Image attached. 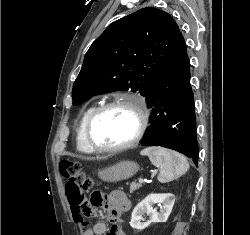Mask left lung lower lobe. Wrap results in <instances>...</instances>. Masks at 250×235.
Returning a JSON list of instances; mask_svg holds the SVG:
<instances>
[{
  "instance_id": "0a47b994",
  "label": "left lung lower lobe",
  "mask_w": 250,
  "mask_h": 235,
  "mask_svg": "<svg viewBox=\"0 0 250 235\" xmlns=\"http://www.w3.org/2000/svg\"><path fill=\"white\" fill-rule=\"evenodd\" d=\"M152 108L151 125L143 145H157L178 151L197 166L198 145L190 84L189 58L182 34L157 72L146 94Z\"/></svg>"
}]
</instances>
